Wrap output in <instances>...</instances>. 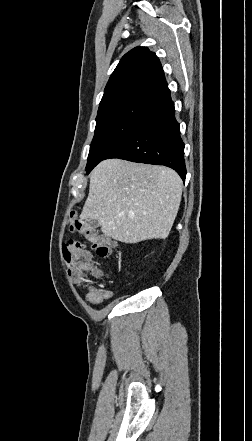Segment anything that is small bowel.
Masks as SVG:
<instances>
[{"label": "small bowel", "mask_w": 252, "mask_h": 441, "mask_svg": "<svg viewBox=\"0 0 252 441\" xmlns=\"http://www.w3.org/2000/svg\"><path fill=\"white\" fill-rule=\"evenodd\" d=\"M76 284L83 287L85 290V299L91 305H99L104 300H108L112 297V293L105 290H100L92 285L84 284L80 281H75Z\"/></svg>", "instance_id": "obj_1"}]
</instances>
